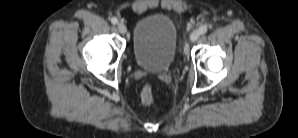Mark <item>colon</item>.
I'll use <instances>...</instances> for the list:
<instances>
[{"mask_svg":"<svg viewBox=\"0 0 298 138\" xmlns=\"http://www.w3.org/2000/svg\"><path fill=\"white\" fill-rule=\"evenodd\" d=\"M141 100L144 104L150 105L154 101V91L151 86L147 85L142 89Z\"/></svg>","mask_w":298,"mask_h":138,"instance_id":"obj_1","label":"colon"}]
</instances>
